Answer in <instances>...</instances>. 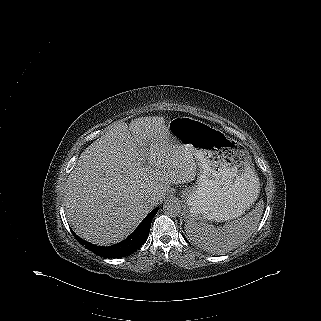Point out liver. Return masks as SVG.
<instances>
[{"mask_svg":"<svg viewBox=\"0 0 321 321\" xmlns=\"http://www.w3.org/2000/svg\"><path fill=\"white\" fill-rule=\"evenodd\" d=\"M197 163L173 145L163 117L117 123L88 146L70 173L64 207L73 230L97 245L129 236L173 184L195 179ZM155 198L149 204V198Z\"/></svg>","mask_w":321,"mask_h":321,"instance_id":"6515ba94","label":"liver"}]
</instances>
